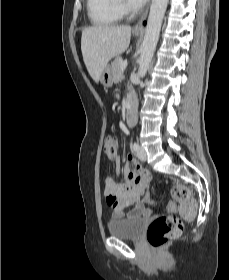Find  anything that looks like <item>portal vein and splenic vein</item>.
<instances>
[{
	"instance_id": "18ae733b",
	"label": "portal vein and splenic vein",
	"mask_w": 229,
	"mask_h": 280,
	"mask_svg": "<svg viewBox=\"0 0 229 280\" xmlns=\"http://www.w3.org/2000/svg\"><path fill=\"white\" fill-rule=\"evenodd\" d=\"M126 67H127V60L122 62L121 69L124 70Z\"/></svg>"
}]
</instances>
